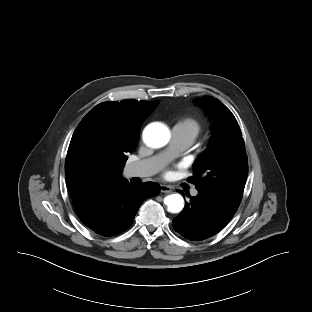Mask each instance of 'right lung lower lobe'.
<instances>
[{
    "instance_id": "obj_1",
    "label": "right lung lower lobe",
    "mask_w": 312,
    "mask_h": 312,
    "mask_svg": "<svg viewBox=\"0 0 312 312\" xmlns=\"http://www.w3.org/2000/svg\"><path fill=\"white\" fill-rule=\"evenodd\" d=\"M160 186L147 182L143 186L128 181L118 186L82 223L102 236H113L127 229L133 222L141 203L148 197L158 195Z\"/></svg>"
}]
</instances>
